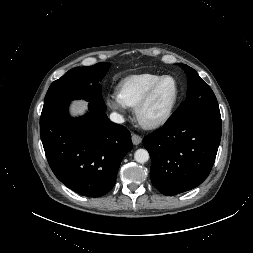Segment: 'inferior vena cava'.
Here are the masks:
<instances>
[{"instance_id": "inferior-vena-cava-1", "label": "inferior vena cava", "mask_w": 253, "mask_h": 253, "mask_svg": "<svg viewBox=\"0 0 253 253\" xmlns=\"http://www.w3.org/2000/svg\"><path fill=\"white\" fill-rule=\"evenodd\" d=\"M110 120L112 122H115V123H118V124H121L124 122V118L122 115L116 113V112H113L110 114Z\"/></svg>"}]
</instances>
